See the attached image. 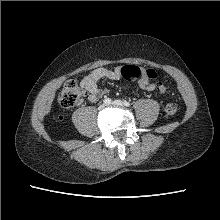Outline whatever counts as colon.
Wrapping results in <instances>:
<instances>
[{
  "mask_svg": "<svg viewBox=\"0 0 220 220\" xmlns=\"http://www.w3.org/2000/svg\"><path fill=\"white\" fill-rule=\"evenodd\" d=\"M121 77L126 81H134L141 75V70L137 66L126 65L121 68ZM148 76L151 79H158V74L154 70H148ZM158 92L164 94L167 92V87L163 84L158 85ZM82 97V90L77 82L68 81L61 90L58 97V104L62 109H69L76 105ZM178 106L174 103L167 104L163 113L165 116L170 117L176 114Z\"/></svg>",
  "mask_w": 220,
  "mask_h": 220,
  "instance_id": "1",
  "label": "colon"
}]
</instances>
